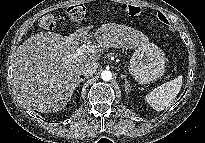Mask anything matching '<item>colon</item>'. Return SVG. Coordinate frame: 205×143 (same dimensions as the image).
I'll use <instances>...</instances> for the list:
<instances>
[{
    "label": "colon",
    "mask_w": 205,
    "mask_h": 143,
    "mask_svg": "<svg viewBox=\"0 0 205 143\" xmlns=\"http://www.w3.org/2000/svg\"><path fill=\"white\" fill-rule=\"evenodd\" d=\"M123 11L129 16H138L141 14V8L135 5H124ZM67 14L71 19L80 21L86 15V8L83 4H74L67 9ZM158 18L166 25H169V21L163 14L159 13ZM55 24V17L50 14L43 16L40 20V26L44 29L51 30L55 27Z\"/></svg>",
    "instance_id": "obj_1"
}]
</instances>
